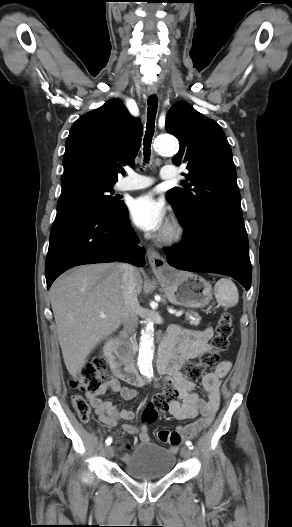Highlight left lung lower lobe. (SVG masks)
<instances>
[{"label": "left lung lower lobe", "instance_id": "1", "mask_svg": "<svg viewBox=\"0 0 292 527\" xmlns=\"http://www.w3.org/2000/svg\"><path fill=\"white\" fill-rule=\"evenodd\" d=\"M183 241L165 248L168 263L182 270L231 276L251 285L249 244L243 217L217 215L184 227Z\"/></svg>", "mask_w": 292, "mask_h": 527}]
</instances>
